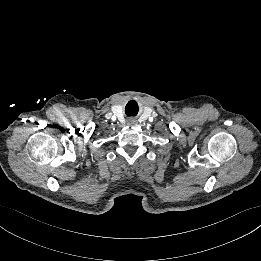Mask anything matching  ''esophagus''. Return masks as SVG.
<instances>
[{
    "instance_id": "34e87169",
    "label": "esophagus",
    "mask_w": 261,
    "mask_h": 261,
    "mask_svg": "<svg viewBox=\"0 0 261 261\" xmlns=\"http://www.w3.org/2000/svg\"><path fill=\"white\" fill-rule=\"evenodd\" d=\"M134 120H128V124L131 125V123H133Z\"/></svg>"
}]
</instances>
